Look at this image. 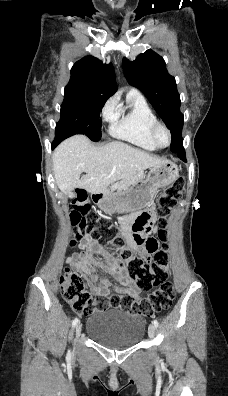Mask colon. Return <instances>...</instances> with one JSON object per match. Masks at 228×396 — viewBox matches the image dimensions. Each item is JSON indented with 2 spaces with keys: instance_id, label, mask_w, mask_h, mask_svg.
<instances>
[{
  "instance_id": "5ec220e1",
  "label": "colon",
  "mask_w": 228,
  "mask_h": 396,
  "mask_svg": "<svg viewBox=\"0 0 228 396\" xmlns=\"http://www.w3.org/2000/svg\"><path fill=\"white\" fill-rule=\"evenodd\" d=\"M185 184V177L178 178L159 194L155 213L145 211L137 216L132 225V237L140 247V251L133 252L126 249L121 251L115 259L125 266L129 279L134 281L138 288L143 291H148L153 285H156V288L141 299H135L130 294L92 297L83 277L66 268L59 280L61 294L76 313L92 315L114 308L150 317L171 305L174 298L173 287L163 280L164 273L169 266L165 228L172 208L184 192ZM90 208L87 193L84 190H78L73 200V211L70 214L71 223L75 227L72 245L77 242L81 243L89 237L101 240V234L107 223L91 213ZM156 218L160 226L158 236L161 245L149 236ZM151 255L154 256L152 260Z\"/></svg>"
}]
</instances>
